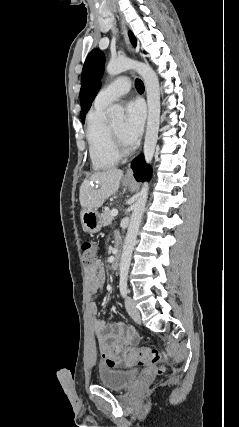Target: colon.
<instances>
[{"label":"colon","mask_w":239,"mask_h":427,"mask_svg":"<svg viewBox=\"0 0 239 427\" xmlns=\"http://www.w3.org/2000/svg\"><path fill=\"white\" fill-rule=\"evenodd\" d=\"M83 262L85 265H91L95 262L97 252L96 246L93 242L85 241L81 246ZM116 352L120 354L128 366L139 365V366H150L158 374L163 372V367L159 365L160 363V353L158 350L150 347H116Z\"/></svg>","instance_id":"obj_1"}]
</instances>
